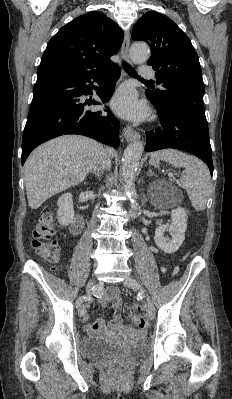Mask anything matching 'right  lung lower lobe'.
<instances>
[{"mask_svg":"<svg viewBox=\"0 0 232 399\" xmlns=\"http://www.w3.org/2000/svg\"><path fill=\"white\" fill-rule=\"evenodd\" d=\"M120 73L114 64L87 73L38 75L23 132L22 164L35 147L63 134L85 135L119 147V121L108 107L100 111L89 109L100 103L81 96L91 94L96 82L100 85L96 94L102 102L109 101Z\"/></svg>","mask_w":232,"mask_h":399,"instance_id":"98d812e1","label":"right lung lower lobe"}]
</instances>
